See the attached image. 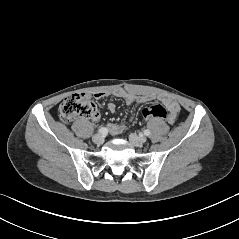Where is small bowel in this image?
Listing matches in <instances>:
<instances>
[{"label":"small bowel","mask_w":239,"mask_h":239,"mask_svg":"<svg viewBox=\"0 0 239 239\" xmlns=\"http://www.w3.org/2000/svg\"><path fill=\"white\" fill-rule=\"evenodd\" d=\"M103 97H119L125 100V102L130 105L133 102L143 103L150 100V97L141 95L137 96L132 93L126 92L124 90H115L113 92H97L94 94V98L99 100ZM159 100L163 103L168 111L167 120L170 124H173L177 118V115L180 111V107L176 100L169 96H160ZM106 109L110 112H114L116 110V106L113 102H109L106 105ZM92 119L94 121H98L100 119L99 112H95L92 115ZM125 127L123 124H110L109 130L112 135H119L124 131Z\"/></svg>","instance_id":"small-bowel-1"}]
</instances>
